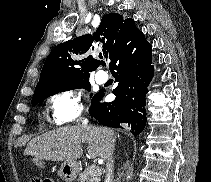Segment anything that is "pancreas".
Here are the masks:
<instances>
[{"mask_svg": "<svg viewBox=\"0 0 211 182\" xmlns=\"http://www.w3.org/2000/svg\"><path fill=\"white\" fill-rule=\"evenodd\" d=\"M101 169L95 165L88 166L79 174L78 182H100Z\"/></svg>", "mask_w": 211, "mask_h": 182, "instance_id": "pancreas-1", "label": "pancreas"}]
</instances>
